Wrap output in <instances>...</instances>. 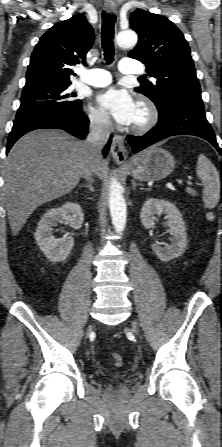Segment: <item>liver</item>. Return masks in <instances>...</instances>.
Returning <instances> with one entry per match:
<instances>
[{"label": "liver", "instance_id": "obj_1", "mask_svg": "<svg viewBox=\"0 0 222 447\" xmlns=\"http://www.w3.org/2000/svg\"><path fill=\"white\" fill-rule=\"evenodd\" d=\"M95 166L103 178L106 162L93 156L87 141L60 130H38L20 138L5 159L4 200L16 236L40 205L71 192Z\"/></svg>", "mask_w": 222, "mask_h": 447}]
</instances>
